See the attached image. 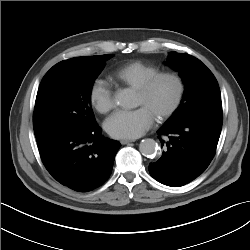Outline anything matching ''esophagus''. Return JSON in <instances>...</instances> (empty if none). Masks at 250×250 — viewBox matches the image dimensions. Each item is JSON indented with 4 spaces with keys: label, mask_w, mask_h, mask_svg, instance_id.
<instances>
[{
    "label": "esophagus",
    "mask_w": 250,
    "mask_h": 250,
    "mask_svg": "<svg viewBox=\"0 0 250 250\" xmlns=\"http://www.w3.org/2000/svg\"><path fill=\"white\" fill-rule=\"evenodd\" d=\"M135 140H130V139H122L121 141H120V143L122 144V145H125V144H129V143H132V142H134Z\"/></svg>",
    "instance_id": "esophagus-1"
}]
</instances>
